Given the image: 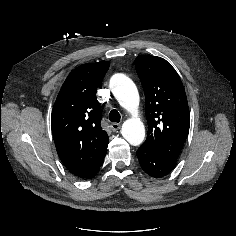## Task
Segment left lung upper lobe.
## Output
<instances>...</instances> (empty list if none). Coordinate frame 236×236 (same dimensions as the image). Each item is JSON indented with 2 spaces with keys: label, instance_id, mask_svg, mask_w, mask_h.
Returning a JSON list of instances; mask_svg holds the SVG:
<instances>
[{
  "label": "left lung upper lobe",
  "instance_id": "1",
  "mask_svg": "<svg viewBox=\"0 0 236 236\" xmlns=\"http://www.w3.org/2000/svg\"><path fill=\"white\" fill-rule=\"evenodd\" d=\"M135 67L146 99L148 134L143 146L176 162L190 125L181 79L172 65L160 57L140 55Z\"/></svg>",
  "mask_w": 236,
  "mask_h": 236
}]
</instances>
